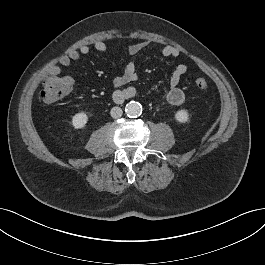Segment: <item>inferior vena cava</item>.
I'll return each mask as SVG.
<instances>
[{
  "instance_id": "inferior-vena-cava-1",
  "label": "inferior vena cava",
  "mask_w": 265,
  "mask_h": 265,
  "mask_svg": "<svg viewBox=\"0 0 265 265\" xmlns=\"http://www.w3.org/2000/svg\"><path fill=\"white\" fill-rule=\"evenodd\" d=\"M122 114H123V111L120 107H113L110 111V115L114 119L120 118Z\"/></svg>"
}]
</instances>
